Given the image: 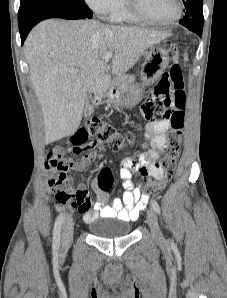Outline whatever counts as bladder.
Returning <instances> with one entry per match:
<instances>
[{
  "instance_id": "bladder-1",
  "label": "bladder",
  "mask_w": 227,
  "mask_h": 298,
  "mask_svg": "<svg viewBox=\"0 0 227 298\" xmlns=\"http://www.w3.org/2000/svg\"><path fill=\"white\" fill-rule=\"evenodd\" d=\"M89 229L96 237L103 239H115L129 235L131 224L123 220L96 219L89 223Z\"/></svg>"
}]
</instances>
